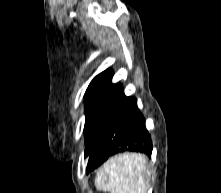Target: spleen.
Masks as SVG:
<instances>
[{"label": "spleen", "mask_w": 221, "mask_h": 193, "mask_svg": "<svg viewBox=\"0 0 221 193\" xmlns=\"http://www.w3.org/2000/svg\"><path fill=\"white\" fill-rule=\"evenodd\" d=\"M149 173L145 156L123 153L110 158L98 170L95 186L110 193H147Z\"/></svg>", "instance_id": "spleen-1"}]
</instances>
